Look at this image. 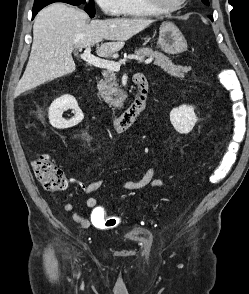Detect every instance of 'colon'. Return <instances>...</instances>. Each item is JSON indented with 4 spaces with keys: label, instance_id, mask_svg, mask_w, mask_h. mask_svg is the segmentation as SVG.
<instances>
[{
    "label": "colon",
    "instance_id": "obj_1",
    "mask_svg": "<svg viewBox=\"0 0 249 294\" xmlns=\"http://www.w3.org/2000/svg\"><path fill=\"white\" fill-rule=\"evenodd\" d=\"M225 71H220L218 79L223 88L228 93L231 104L233 127V142L229 146V151L223 157L219 165L213 170L209 177L212 184L222 181L229 173L236 157L238 143L242 140L245 131V107L243 102V93L240 85L233 78H226ZM33 171L42 184L49 191H60L68 186V179L63 170L58 167L48 155H42L33 162Z\"/></svg>",
    "mask_w": 249,
    "mask_h": 294
}]
</instances>
